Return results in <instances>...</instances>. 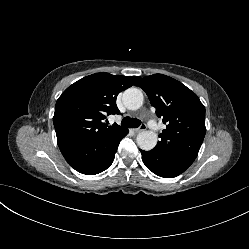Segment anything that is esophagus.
<instances>
[{"mask_svg":"<svg viewBox=\"0 0 249 249\" xmlns=\"http://www.w3.org/2000/svg\"><path fill=\"white\" fill-rule=\"evenodd\" d=\"M146 128H147V126L145 124H142L139 128L134 129V132L135 133H140V132L146 130Z\"/></svg>","mask_w":249,"mask_h":249,"instance_id":"1","label":"esophagus"}]
</instances>
